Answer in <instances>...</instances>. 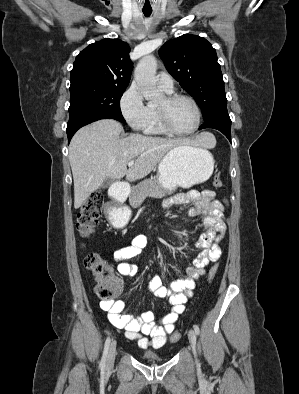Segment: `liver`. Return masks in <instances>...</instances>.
<instances>
[{
    "label": "liver",
    "mask_w": 299,
    "mask_h": 394,
    "mask_svg": "<svg viewBox=\"0 0 299 394\" xmlns=\"http://www.w3.org/2000/svg\"><path fill=\"white\" fill-rule=\"evenodd\" d=\"M122 125L113 119H102L82 127L69 145V162L74 181V207L78 209L106 178L135 181L146 177L172 148L195 143L205 145L208 133L194 141L166 139L139 133L120 138ZM216 143V141H215ZM136 158L127 169L129 161Z\"/></svg>",
    "instance_id": "6515ba94"
}]
</instances>
